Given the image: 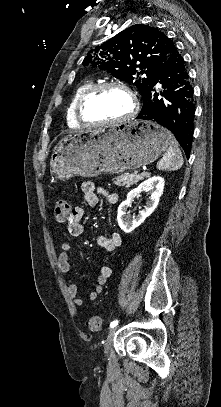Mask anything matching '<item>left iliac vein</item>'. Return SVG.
Masks as SVG:
<instances>
[{"mask_svg":"<svg viewBox=\"0 0 221 407\" xmlns=\"http://www.w3.org/2000/svg\"><path fill=\"white\" fill-rule=\"evenodd\" d=\"M117 329H118V327L115 326V327H112L108 332V335H107V338H106V341H105V344H104V353L106 355H108V353H109L110 345L112 343V340L114 338V335H115Z\"/></svg>","mask_w":221,"mask_h":407,"instance_id":"4c4485c4","label":"left iliac vein"}]
</instances>
